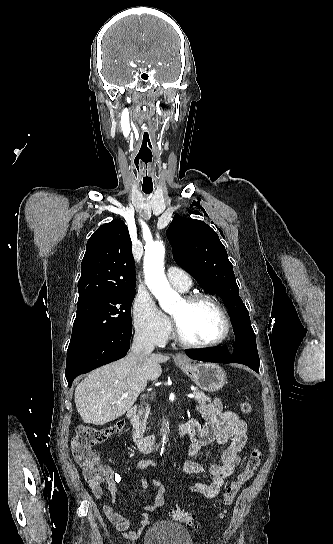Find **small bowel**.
I'll return each mask as SVG.
<instances>
[{
  "mask_svg": "<svg viewBox=\"0 0 333 544\" xmlns=\"http://www.w3.org/2000/svg\"><path fill=\"white\" fill-rule=\"evenodd\" d=\"M198 411L205 419V425H200L194 419L182 422L185 434L190 437L191 443L187 449L190 459L185 460L180 467L181 472L186 474H199L204 472V467L193 458L199 456L203 449L213 443L226 445L222 453V463L212 464L208 468L211 475L209 483H194L189 486L190 491L200 493L207 499H214L220 493L226 478L230 477L240 464V453L247 441V424L235 412L224 410L219 399L209 403L198 405ZM157 463L152 459H142L136 463L135 469L141 487L144 491L150 488L146 477L140 472L148 468H154ZM120 476L111 469L105 467V478L108 491L115 495L118 492L117 483ZM156 489V497L153 503L143 506V513L138 525L129 530L130 522L127 518L117 513L112 505L105 504L102 508L108 521L115 529L122 532L129 540L138 539L150 522V513L160 507L167 497L162 482L155 480L151 484ZM92 492L97 499L102 498V486L92 487ZM129 530V531H128Z\"/></svg>",
  "mask_w": 333,
  "mask_h": 544,
  "instance_id": "obj_1",
  "label": "small bowel"
}]
</instances>
